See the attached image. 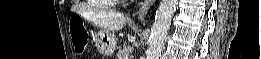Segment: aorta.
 <instances>
[{
	"label": "aorta",
	"mask_w": 261,
	"mask_h": 59,
	"mask_svg": "<svg viewBox=\"0 0 261 59\" xmlns=\"http://www.w3.org/2000/svg\"><path fill=\"white\" fill-rule=\"evenodd\" d=\"M177 5L178 0H161L151 29L147 59L160 58Z\"/></svg>",
	"instance_id": "obj_1"
}]
</instances>
